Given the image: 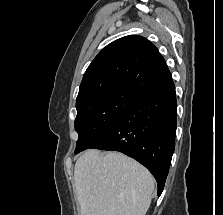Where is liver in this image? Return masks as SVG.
Returning a JSON list of instances; mask_svg holds the SVG:
<instances>
[{"mask_svg":"<svg viewBox=\"0 0 223 215\" xmlns=\"http://www.w3.org/2000/svg\"><path fill=\"white\" fill-rule=\"evenodd\" d=\"M74 179L81 215H145L151 203L153 175L119 151L87 149Z\"/></svg>","mask_w":223,"mask_h":215,"instance_id":"6515ba94","label":"liver"}]
</instances>
